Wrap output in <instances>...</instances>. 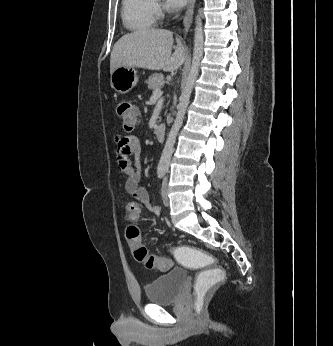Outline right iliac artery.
Returning <instances> with one entry per match:
<instances>
[{"label":"right iliac artery","mask_w":333,"mask_h":346,"mask_svg":"<svg viewBox=\"0 0 333 346\" xmlns=\"http://www.w3.org/2000/svg\"><path fill=\"white\" fill-rule=\"evenodd\" d=\"M157 174H158V177L162 179L165 174V169H162V168L158 169Z\"/></svg>","instance_id":"82829eb1"}]
</instances>
